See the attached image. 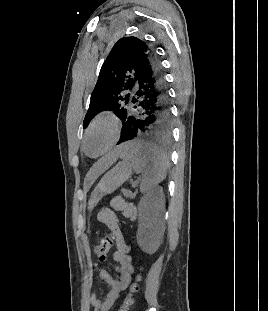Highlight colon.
<instances>
[{
	"label": "colon",
	"instance_id": "5ec220e1",
	"mask_svg": "<svg viewBox=\"0 0 268 311\" xmlns=\"http://www.w3.org/2000/svg\"><path fill=\"white\" fill-rule=\"evenodd\" d=\"M112 243H113L112 235H107V236L100 238V240L98 241L95 247V255L98 261L102 262L106 259L111 249ZM140 271L141 270L139 268L134 281L131 283L129 287V292L119 308V311L130 310V307L133 304V296L139 290V282L141 280Z\"/></svg>",
	"mask_w": 268,
	"mask_h": 311
}]
</instances>
